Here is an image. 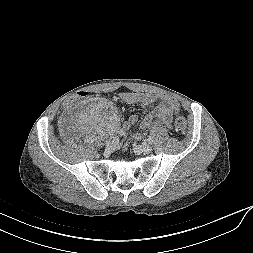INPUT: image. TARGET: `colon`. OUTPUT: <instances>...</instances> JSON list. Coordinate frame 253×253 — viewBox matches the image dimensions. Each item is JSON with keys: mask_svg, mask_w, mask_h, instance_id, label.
I'll list each match as a JSON object with an SVG mask.
<instances>
[{"mask_svg": "<svg viewBox=\"0 0 253 253\" xmlns=\"http://www.w3.org/2000/svg\"><path fill=\"white\" fill-rule=\"evenodd\" d=\"M89 98V93L87 91L74 92L70 96V100H66L63 103V108L65 110H70L73 107V103H77L80 100H87ZM175 129L180 133H185L187 129V121L184 117L179 116L174 122Z\"/></svg>", "mask_w": 253, "mask_h": 253, "instance_id": "1", "label": "colon"}]
</instances>
